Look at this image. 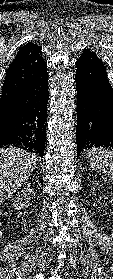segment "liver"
Instances as JSON below:
<instances>
[{"instance_id": "liver-1", "label": "liver", "mask_w": 113, "mask_h": 279, "mask_svg": "<svg viewBox=\"0 0 113 279\" xmlns=\"http://www.w3.org/2000/svg\"><path fill=\"white\" fill-rule=\"evenodd\" d=\"M37 156L26 150L8 147L0 149V204L9 199L29 178Z\"/></svg>"}]
</instances>
